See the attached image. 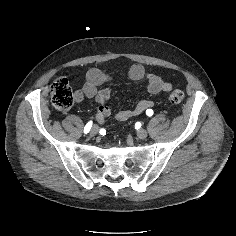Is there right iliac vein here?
<instances>
[{"label": "right iliac vein", "mask_w": 236, "mask_h": 236, "mask_svg": "<svg viewBox=\"0 0 236 236\" xmlns=\"http://www.w3.org/2000/svg\"><path fill=\"white\" fill-rule=\"evenodd\" d=\"M98 130H99V128L97 126H93L90 131V135L95 136L98 133Z\"/></svg>", "instance_id": "63e3f726"}]
</instances>
